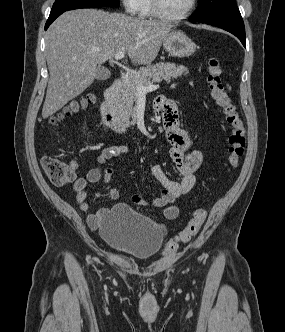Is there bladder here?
<instances>
[{
    "instance_id": "bladder-1",
    "label": "bladder",
    "mask_w": 285,
    "mask_h": 332,
    "mask_svg": "<svg viewBox=\"0 0 285 332\" xmlns=\"http://www.w3.org/2000/svg\"><path fill=\"white\" fill-rule=\"evenodd\" d=\"M99 232L113 250L136 260L158 254L166 237L164 225L126 204H117L105 212Z\"/></svg>"
}]
</instances>
